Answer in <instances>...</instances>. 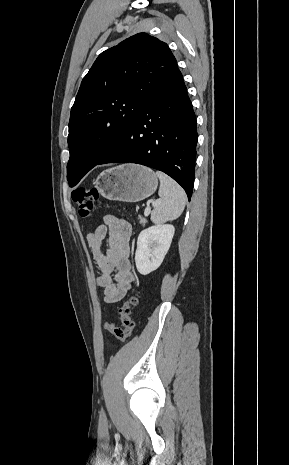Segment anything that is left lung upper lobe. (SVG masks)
I'll use <instances>...</instances> for the list:
<instances>
[{
	"mask_svg": "<svg viewBox=\"0 0 289 465\" xmlns=\"http://www.w3.org/2000/svg\"><path fill=\"white\" fill-rule=\"evenodd\" d=\"M176 70L167 44L146 33L98 56L71 108L67 164L71 187L116 145L147 95Z\"/></svg>",
	"mask_w": 289,
	"mask_h": 465,
	"instance_id": "obj_1",
	"label": "left lung upper lobe"
}]
</instances>
